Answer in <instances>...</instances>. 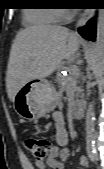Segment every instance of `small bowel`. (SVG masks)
<instances>
[{"label": "small bowel", "instance_id": "obj_1", "mask_svg": "<svg viewBox=\"0 0 104 169\" xmlns=\"http://www.w3.org/2000/svg\"><path fill=\"white\" fill-rule=\"evenodd\" d=\"M53 129L56 145L51 149L50 155L46 162H37L36 169H64V162L68 159L70 152L67 148L68 132L65 128L64 118L61 112H56L53 115ZM80 164L87 166L89 164L88 158L82 156Z\"/></svg>", "mask_w": 104, "mask_h": 169}]
</instances>
